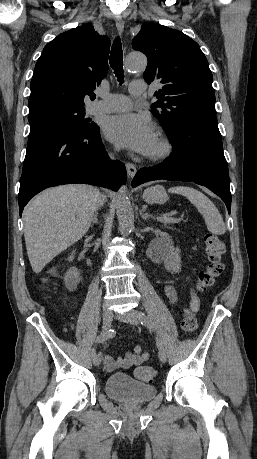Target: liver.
Returning a JSON list of instances; mask_svg holds the SVG:
<instances>
[{
	"instance_id": "6515ba94",
	"label": "liver",
	"mask_w": 257,
	"mask_h": 459,
	"mask_svg": "<svg viewBox=\"0 0 257 459\" xmlns=\"http://www.w3.org/2000/svg\"><path fill=\"white\" fill-rule=\"evenodd\" d=\"M100 196L93 186L65 185L45 190L26 206L25 243L36 274L87 233Z\"/></svg>"
}]
</instances>
